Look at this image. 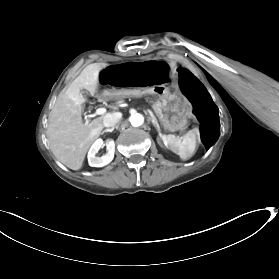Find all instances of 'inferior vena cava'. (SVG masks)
I'll use <instances>...</instances> for the list:
<instances>
[{"mask_svg": "<svg viewBox=\"0 0 279 279\" xmlns=\"http://www.w3.org/2000/svg\"><path fill=\"white\" fill-rule=\"evenodd\" d=\"M121 118V113H107L104 116L103 125L105 127H112L114 129L115 124L119 121L118 119Z\"/></svg>", "mask_w": 279, "mask_h": 279, "instance_id": "inferior-vena-cava-1", "label": "inferior vena cava"}]
</instances>
